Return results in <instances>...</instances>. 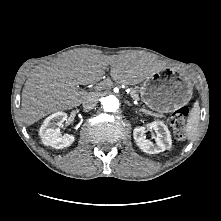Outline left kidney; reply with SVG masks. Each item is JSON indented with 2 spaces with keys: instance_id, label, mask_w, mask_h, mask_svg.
<instances>
[{
  "instance_id": "5707ae66",
  "label": "left kidney",
  "mask_w": 221,
  "mask_h": 221,
  "mask_svg": "<svg viewBox=\"0 0 221 221\" xmlns=\"http://www.w3.org/2000/svg\"><path fill=\"white\" fill-rule=\"evenodd\" d=\"M149 127L157 134L155 138L156 145L145 138L144 133L146 132V127L139 126L133 130V137L137 146L148 154H157L169 149L172 145V140L167 126L161 121H154Z\"/></svg>"
}]
</instances>
